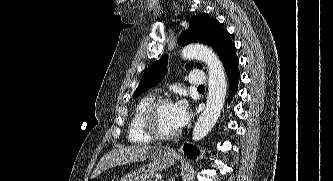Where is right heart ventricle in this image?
I'll list each match as a JSON object with an SVG mask.
<instances>
[{"label": "right heart ventricle", "mask_w": 333, "mask_h": 181, "mask_svg": "<svg viewBox=\"0 0 333 181\" xmlns=\"http://www.w3.org/2000/svg\"><path fill=\"white\" fill-rule=\"evenodd\" d=\"M156 99L155 94H147L143 96L136 104L128 129V138L131 142L136 144H149L153 138L144 130L142 117L148 105Z\"/></svg>", "instance_id": "e07e8e85"}]
</instances>
